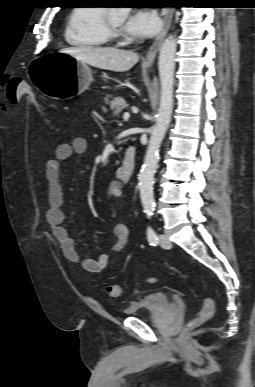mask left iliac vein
I'll list each match as a JSON object with an SVG mask.
<instances>
[{
	"instance_id": "1",
	"label": "left iliac vein",
	"mask_w": 255,
	"mask_h": 387,
	"mask_svg": "<svg viewBox=\"0 0 255 387\" xmlns=\"http://www.w3.org/2000/svg\"><path fill=\"white\" fill-rule=\"evenodd\" d=\"M159 244L162 248H165V249H169L172 246V243L166 234L159 235Z\"/></svg>"
}]
</instances>
